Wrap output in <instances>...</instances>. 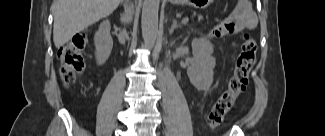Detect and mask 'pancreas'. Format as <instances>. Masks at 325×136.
<instances>
[{
	"mask_svg": "<svg viewBox=\"0 0 325 136\" xmlns=\"http://www.w3.org/2000/svg\"><path fill=\"white\" fill-rule=\"evenodd\" d=\"M193 21L196 24H207L209 19L207 18L206 12H195Z\"/></svg>",
	"mask_w": 325,
	"mask_h": 136,
	"instance_id": "pancreas-1",
	"label": "pancreas"
}]
</instances>
